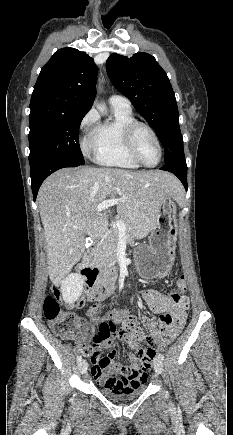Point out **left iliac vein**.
<instances>
[{"label": "left iliac vein", "mask_w": 233, "mask_h": 435, "mask_svg": "<svg viewBox=\"0 0 233 435\" xmlns=\"http://www.w3.org/2000/svg\"><path fill=\"white\" fill-rule=\"evenodd\" d=\"M153 365H154V370H155V372H156L157 374H160V373L162 372V370H163V362H162V360L159 359V358H156V359L154 360Z\"/></svg>", "instance_id": "1"}]
</instances>
